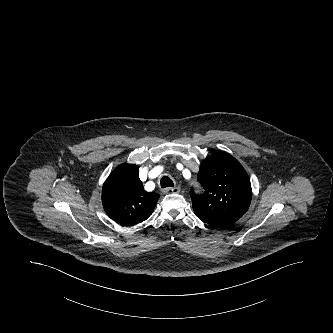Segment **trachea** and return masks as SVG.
Masks as SVG:
<instances>
[{"label": "trachea", "mask_w": 333, "mask_h": 333, "mask_svg": "<svg viewBox=\"0 0 333 333\" xmlns=\"http://www.w3.org/2000/svg\"><path fill=\"white\" fill-rule=\"evenodd\" d=\"M160 184L162 188L174 187L173 181L168 176H163L160 180Z\"/></svg>", "instance_id": "trachea-1"}]
</instances>
